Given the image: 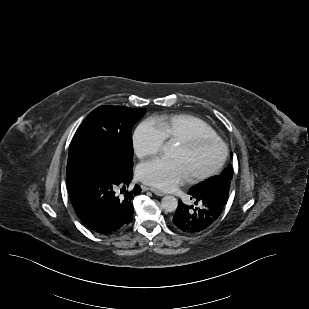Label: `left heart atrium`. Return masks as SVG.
I'll return each instance as SVG.
<instances>
[{
	"mask_svg": "<svg viewBox=\"0 0 309 309\" xmlns=\"http://www.w3.org/2000/svg\"><path fill=\"white\" fill-rule=\"evenodd\" d=\"M137 178L150 186L170 191L185 183L190 175L179 159L157 158L140 164Z\"/></svg>",
	"mask_w": 309,
	"mask_h": 309,
	"instance_id": "1",
	"label": "left heart atrium"
}]
</instances>
